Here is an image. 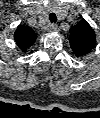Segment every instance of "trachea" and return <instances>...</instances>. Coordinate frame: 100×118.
I'll return each mask as SVG.
<instances>
[{
    "instance_id": "trachea-1",
    "label": "trachea",
    "mask_w": 100,
    "mask_h": 118,
    "mask_svg": "<svg viewBox=\"0 0 100 118\" xmlns=\"http://www.w3.org/2000/svg\"><path fill=\"white\" fill-rule=\"evenodd\" d=\"M49 19H50L51 23H55L56 20H57V17H56V15L54 13H50Z\"/></svg>"
}]
</instances>
